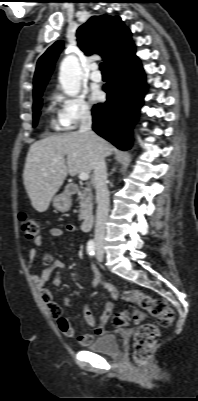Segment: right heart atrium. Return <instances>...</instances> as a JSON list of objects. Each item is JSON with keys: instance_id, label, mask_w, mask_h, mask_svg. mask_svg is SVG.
Instances as JSON below:
<instances>
[{"instance_id": "right-heart-atrium-1", "label": "right heart atrium", "mask_w": 198, "mask_h": 401, "mask_svg": "<svg viewBox=\"0 0 198 401\" xmlns=\"http://www.w3.org/2000/svg\"><path fill=\"white\" fill-rule=\"evenodd\" d=\"M53 100L58 105L57 122L65 130H73L92 118V106L83 96H67L56 90Z\"/></svg>"}]
</instances>
